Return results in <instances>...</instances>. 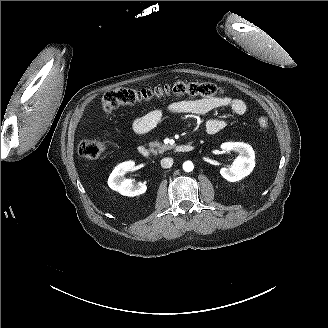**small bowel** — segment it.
<instances>
[{
    "label": "small bowel",
    "instance_id": "1",
    "mask_svg": "<svg viewBox=\"0 0 328 328\" xmlns=\"http://www.w3.org/2000/svg\"><path fill=\"white\" fill-rule=\"evenodd\" d=\"M227 107L237 115L246 112V104L242 99L228 96L215 98L185 99L169 104L165 109H156L133 120L132 130L137 135H143L155 128L166 113L202 115L218 108ZM226 121L213 118L206 123V132L210 135L219 133L226 127Z\"/></svg>",
    "mask_w": 328,
    "mask_h": 328
}]
</instances>
